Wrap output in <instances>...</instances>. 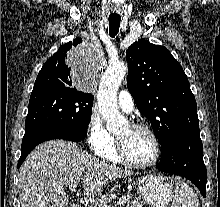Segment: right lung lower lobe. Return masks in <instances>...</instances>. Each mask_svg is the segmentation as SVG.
<instances>
[{"label": "right lung lower lobe", "mask_w": 220, "mask_h": 207, "mask_svg": "<svg viewBox=\"0 0 220 207\" xmlns=\"http://www.w3.org/2000/svg\"><path fill=\"white\" fill-rule=\"evenodd\" d=\"M86 135L87 130L83 128L36 125L26 129L22 140L21 156L18 161V167H20L34 147L41 142L51 139H64L78 142L85 138Z\"/></svg>", "instance_id": "98d812e1"}]
</instances>
